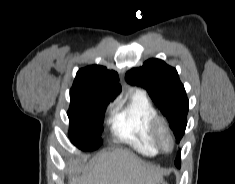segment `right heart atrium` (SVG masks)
Returning <instances> with one entry per match:
<instances>
[{
  "mask_svg": "<svg viewBox=\"0 0 235 184\" xmlns=\"http://www.w3.org/2000/svg\"><path fill=\"white\" fill-rule=\"evenodd\" d=\"M113 103H110L109 105H108V109L110 110V109H112V107H113Z\"/></svg>",
  "mask_w": 235,
  "mask_h": 184,
  "instance_id": "obj_1",
  "label": "right heart atrium"
}]
</instances>
